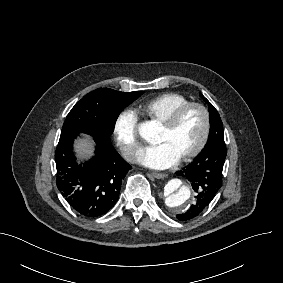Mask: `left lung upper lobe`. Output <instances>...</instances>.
<instances>
[{
  "instance_id": "left-lung-upper-lobe-1",
  "label": "left lung upper lobe",
  "mask_w": 283,
  "mask_h": 283,
  "mask_svg": "<svg viewBox=\"0 0 283 283\" xmlns=\"http://www.w3.org/2000/svg\"><path fill=\"white\" fill-rule=\"evenodd\" d=\"M200 96L209 104L211 129L207 143L224 141L223 124L217 110L202 94Z\"/></svg>"
}]
</instances>
